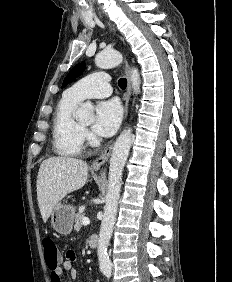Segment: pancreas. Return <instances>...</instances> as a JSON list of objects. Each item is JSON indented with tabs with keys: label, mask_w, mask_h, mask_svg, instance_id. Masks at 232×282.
<instances>
[{
	"label": "pancreas",
	"mask_w": 232,
	"mask_h": 282,
	"mask_svg": "<svg viewBox=\"0 0 232 282\" xmlns=\"http://www.w3.org/2000/svg\"><path fill=\"white\" fill-rule=\"evenodd\" d=\"M85 217V214L83 213H77L75 215V225H74V229L76 231H79L82 227V219Z\"/></svg>",
	"instance_id": "obj_1"
}]
</instances>
